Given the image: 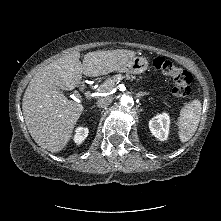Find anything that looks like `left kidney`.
I'll list each match as a JSON object with an SVG mask.
<instances>
[{
  "instance_id": "obj_1",
  "label": "left kidney",
  "mask_w": 221,
  "mask_h": 221,
  "mask_svg": "<svg viewBox=\"0 0 221 221\" xmlns=\"http://www.w3.org/2000/svg\"><path fill=\"white\" fill-rule=\"evenodd\" d=\"M170 127V117L167 113L158 114L150 119L149 129L151 133L160 141L168 138Z\"/></svg>"
}]
</instances>
